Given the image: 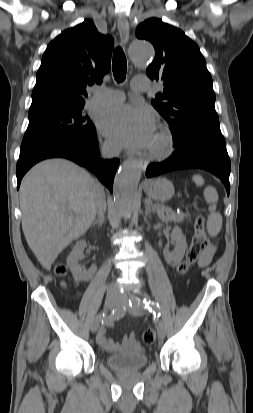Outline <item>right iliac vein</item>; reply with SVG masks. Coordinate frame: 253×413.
Returning <instances> with one entry per match:
<instances>
[{
  "label": "right iliac vein",
  "instance_id": "obj_1",
  "mask_svg": "<svg viewBox=\"0 0 253 413\" xmlns=\"http://www.w3.org/2000/svg\"><path fill=\"white\" fill-rule=\"evenodd\" d=\"M119 303V298L115 293L109 292L105 298V308L112 309ZM99 328V320L95 319L91 324V332L95 333Z\"/></svg>",
  "mask_w": 253,
  "mask_h": 413
}]
</instances>
